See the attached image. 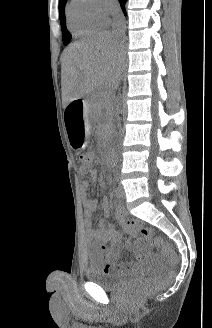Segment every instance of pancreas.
Instances as JSON below:
<instances>
[{"label":"pancreas","mask_w":212,"mask_h":328,"mask_svg":"<svg viewBox=\"0 0 212 328\" xmlns=\"http://www.w3.org/2000/svg\"><path fill=\"white\" fill-rule=\"evenodd\" d=\"M92 105L95 112L98 114V116L101 117V120L103 122L107 121V119L109 118L108 110L110 109L109 98L105 94L97 92L93 95ZM103 109L106 110L105 113H102Z\"/></svg>","instance_id":"pancreas-1"}]
</instances>
